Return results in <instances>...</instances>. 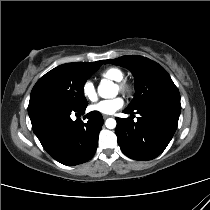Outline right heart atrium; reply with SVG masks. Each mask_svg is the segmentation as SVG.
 <instances>
[{"label": "right heart atrium", "mask_w": 210, "mask_h": 210, "mask_svg": "<svg viewBox=\"0 0 210 210\" xmlns=\"http://www.w3.org/2000/svg\"><path fill=\"white\" fill-rule=\"evenodd\" d=\"M82 95L83 97L89 101L93 102L97 99V90L95 84L91 80H86L82 85Z\"/></svg>", "instance_id": "d8ad5b80"}]
</instances>
